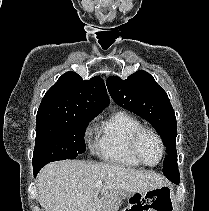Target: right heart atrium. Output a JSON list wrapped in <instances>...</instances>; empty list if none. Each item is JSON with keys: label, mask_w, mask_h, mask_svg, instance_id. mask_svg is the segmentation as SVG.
Returning <instances> with one entry per match:
<instances>
[{"label": "right heart atrium", "mask_w": 209, "mask_h": 211, "mask_svg": "<svg viewBox=\"0 0 209 211\" xmlns=\"http://www.w3.org/2000/svg\"><path fill=\"white\" fill-rule=\"evenodd\" d=\"M89 135H90V130H88V131L86 132V134H85L86 138L89 137Z\"/></svg>", "instance_id": "1"}]
</instances>
